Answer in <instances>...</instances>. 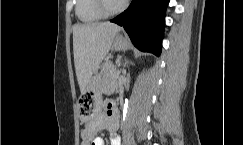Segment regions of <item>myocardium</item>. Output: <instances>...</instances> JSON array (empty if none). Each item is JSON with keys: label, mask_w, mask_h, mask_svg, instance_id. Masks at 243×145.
<instances>
[{"label": "myocardium", "mask_w": 243, "mask_h": 145, "mask_svg": "<svg viewBox=\"0 0 243 145\" xmlns=\"http://www.w3.org/2000/svg\"><path fill=\"white\" fill-rule=\"evenodd\" d=\"M95 2H96L97 10L104 17L105 16H112V15H115V14L122 12L128 4V0H124L118 7L111 8V7H109L107 0H95Z\"/></svg>", "instance_id": "obj_1"}]
</instances>
